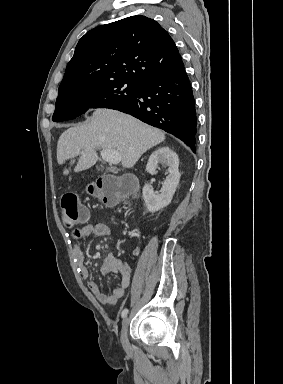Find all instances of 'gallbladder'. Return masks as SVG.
I'll use <instances>...</instances> for the list:
<instances>
[{
    "label": "gallbladder",
    "mask_w": 283,
    "mask_h": 384,
    "mask_svg": "<svg viewBox=\"0 0 283 384\" xmlns=\"http://www.w3.org/2000/svg\"><path fill=\"white\" fill-rule=\"evenodd\" d=\"M102 170H103L104 172H107V171L109 170V167H108L107 165H104V166L102 167Z\"/></svg>",
    "instance_id": "bac80fb5"
}]
</instances>
